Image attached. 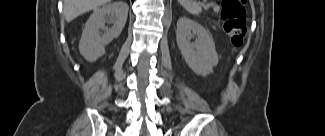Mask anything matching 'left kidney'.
I'll return each mask as SVG.
<instances>
[{
	"label": "left kidney",
	"mask_w": 325,
	"mask_h": 136,
	"mask_svg": "<svg viewBox=\"0 0 325 136\" xmlns=\"http://www.w3.org/2000/svg\"><path fill=\"white\" fill-rule=\"evenodd\" d=\"M193 35H196V40L191 43L189 39ZM176 40L183 58L194 73L201 76L212 73L219 58L209 31L187 17H180L177 22Z\"/></svg>",
	"instance_id": "obj_1"
}]
</instances>
